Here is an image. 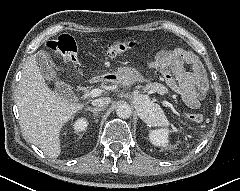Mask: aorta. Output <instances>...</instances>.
Returning a JSON list of instances; mask_svg holds the SVG:
<instances>
[{
  "label": "aorta",
  "mask_w": 240,
  "mask_h": 191,
  "mask_svg": "<svg viewBox=\"0 0 240 191\" xmlns=\"http://www.w3.org/2000/svg\"><path fill=\"white\" fill-rule=\"evenodd\" d=\"M141 96H139V98H140ZM138 97L136 98V99H139ZM145 101H149L150 102V100H148V99H145L144 100V98H143V106L145 107ZM151 103V102H150ZM116 114H117V116L118 117H120V118H123V119H126V118H129L130 116H131V114H132V109H131V107L128 105V104H126V103H124V104H120L118 107H117V109H116Z\"/></svg>",
  "instance_id": "1"
}]
</instances>
